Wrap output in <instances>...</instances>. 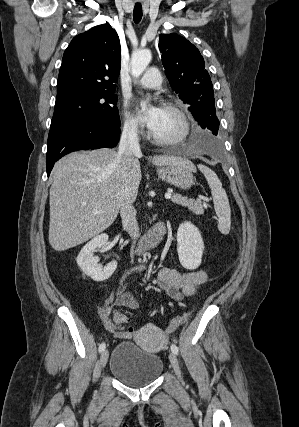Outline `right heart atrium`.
Wrapping results in <instances>:
<instances>
[{
	"mask_svg": "<svg viewBox=\"0 0 299 427\" xmlns=\"http://www.w3.org/2000/svg\"><path fill=\"white\" fill-rule=\"evenodd\" d=\"M122 131L130 138H137L140 135V128L138 123L128 113H126L124 116Z\"/></svg>",
	"mask_w": 299,
	"mask_h": 427,
	"instance_id": "1",
	"label": "right heart atrium"
}]
</instances>
